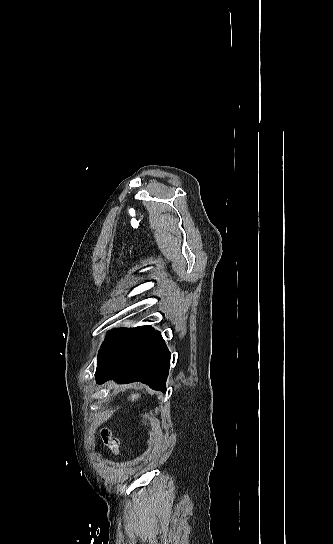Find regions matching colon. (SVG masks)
I'll return each instance as SVG.
<instances>
[{
    "mask_svg": "<svg viewBox=\"0 0 333 544\" xmlns=\"http://www.w3.org/2000/svg\"><path fill=\"white\" fill-rule=\"evenodd\" d=\"M101 435L104 443L108 446V448L112 452L116 453L118 451L117 440L114 439L107 430H102Z\"/></svg>",
    "mask_w": 333,
    "mask_h": 544,
    "instance_id": "colon-1",
    "label": "colon"
}]
</instances>
